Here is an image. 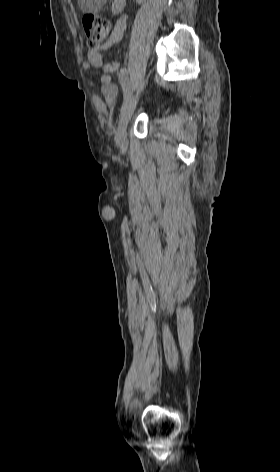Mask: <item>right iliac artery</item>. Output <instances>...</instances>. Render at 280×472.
Wrapping results in <instances>:
<instances>
[{
  "label": "right iliac artery",
  "mask_w": 280,
  "mask_h": 472,
  "mask_svg": "<svg viewBox=\"0 0 280 472\" xmlns=\"http://www.w3.org/2000/svg\"><path fill=\"white\" fill-rule=\"evenodd\" d=\"M119 82L123 89L124 99H123L122 108H124L128 104V102L131 100V96H132V92H131V88H130V84L128 80V70L126 68H123L120 70Z\"/></svg>",
  "instance_id": "1"
}]
</instances>
